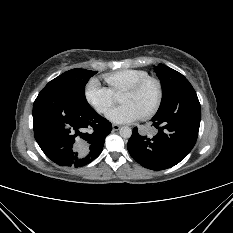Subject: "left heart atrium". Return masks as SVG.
Here are the masks:
<instances>
[{"label": "left heart atrium", "instance_id": "39dd6f15", "mask_svg": "<svg viewBox=\"0 0 233 233\" xmlns=\"http://www.w3.org/2000/svg\"><path fill=\"white\" fill-rule=\"evenodd\" d=\"M140 111L132 104H122L107 113V118L114 123H131L141 118Z\"/></svg>", "mask_w": 233, "mask_h": 233}]
</instances>
